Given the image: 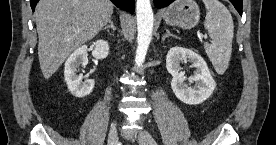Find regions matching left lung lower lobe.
I'll use <instances>...</instances> for the list:
<instances>
[{"label": "left lung lower lobe", "instance_id": "left-lung-lower-lobe-1", "mask_svg": "<svg viewBox=\"0 0 276 145\" xmlns=\"http://www.w3.org/2000/svg\"><path fill=\"white\" fill-rule=\"evenodd\" d=\"M174 0H154V4L156 8H163L169 5ZM230 2L234 5L235 9L242 15V4L243 0H230Z\"/></svg>", "mask_w": 276, "mask_h": 145}]
</instances>
